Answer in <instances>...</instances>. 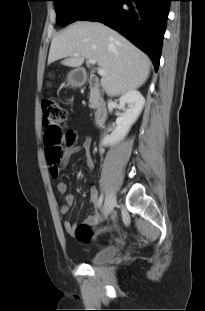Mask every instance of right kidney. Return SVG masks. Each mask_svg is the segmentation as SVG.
<instances>
[{"mask_svg":"<svg viewBox=\"0 0 205 311\" xmlns=\"http://www.w3.org/2000/svg\"><path fill=\"white\" fill-rule=\"evenodd\" d=\"M144 103V97L137 90H130L119 98V108L124 109L126 104L128 108L124 109L125 112L120 114L116 119V128L114 131L104 138L103 143L105 145H113L126 136L130 127L140 115Z\"/></svg>","mask_w":205,"mask_h":311,"instance_id":"obj_1","label":"right kidney"}]
</instances>
